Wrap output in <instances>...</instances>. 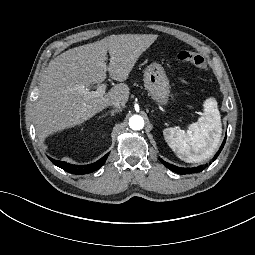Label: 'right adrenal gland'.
<instances>
[{
  "label": "right adrenal gland",
  "mask_w": 255,
  "mask_h": 255,
  "mask_svg": "<svg viewBox=\"0 0 255 255\" xmlns=\"http://www.w3.org/2000/svg\"><path fill=\"white\" fill-rule=\"evenodd\" d=\"M115 112H116V110H112L109 113H107V114H105V115H103L101 117H98L97 120H101L102 118H104L107 115H109L110 117H113Z\"/></svg>",
  "instance_id": "obj_1"
}]
</instances>
